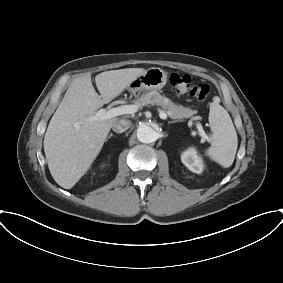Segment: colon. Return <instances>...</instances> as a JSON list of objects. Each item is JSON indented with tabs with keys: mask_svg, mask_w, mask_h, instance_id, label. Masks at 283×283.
Returning <instances> with one entry per match:
<instances>
[{
	"mask_svg": "<svg viewBox=\"0 0 283 283\" xmlns=\"http://www.w3.org/2000/svg\"><path fill=\"white\" fill-rule=\"evenodd\" d=\"M169 82L178 93H188L199 101L206 100L210 94L208 84L199 82L187 74L173 73L169 77Z\"/></svg>",
	"mask_w": 283,
	"mask_h": 283,
	"instance_id": "colon-1",
	"label": "colon"
}]
</instances>
